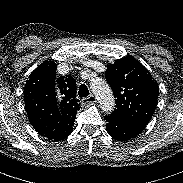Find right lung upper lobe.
I'll list each match as a JSON object with an SVG mask.
<instances>
[{
    "mask_svg": "<svg viewBox=\"0 0 183 183\" xmlns=\"http://www.w3.org/2000/svg\"><path fill=\"white\" fill-rule=\"evenodd\" d=\"M23 94L28 119L39 134L60 141L72 133L80 109L76 81L71 75L56 76L54 61L46 60L32 72Z\"/></svg>",
    "mask_w": 183,
    "mask_h": 183,
    "instance_id": "obj_1",
    "label": "right lung upper lobe"
}]
</instances>
